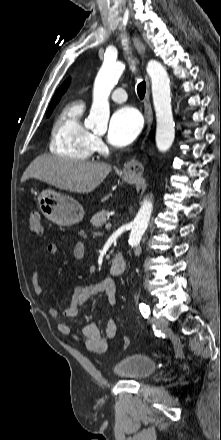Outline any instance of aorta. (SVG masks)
Listing matches in <instances>:
<instances>
[{
	"mask_svg": "<svg viewBox=\"0 0 221 440\" xmlns=\"http://www.w3.org/2000/svg\"><path fill=\"white\" fill-rule=\"evenodd\" d=\"M125 65L121 62H104L94 83L93 103L90 114L85 121L92 128H106L110 115L108 97L121 77ZM147 73L151 78L152 97L156 113V146L159 151H167L175 138V123L171 107L170 79L166 69L156 60L147 64ZM153 203L144 200L138 211L129 236V244L136 246L140 243L143 233L147 229Z\"/></svg>",
	"mask_w": 221,
	"mask_h": 440,
	"instance_id": "aorta-1",
	"label": "aorta"
}]
</instances>
